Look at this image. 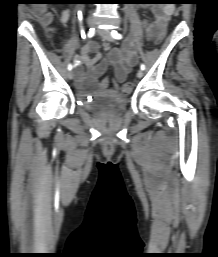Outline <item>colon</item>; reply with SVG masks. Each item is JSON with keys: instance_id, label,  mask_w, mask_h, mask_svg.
<instances>
[{"instance_id": "5ec220e1", "label": "colon", "mask_w": 218, "mask_h": 257, "mask_svg": "<svg viewBox=\"0 0 218 257\" xmlns=\"http://www.w3.org/2000/svg\"><path fill=\"white\" fill-rule=\"evenodd\" d=\"M29 10H39V5H29ZM44 19L47 21L49 19L48 14H44ZM165 26H162V30H157L155 34V43L159 44L162 39H165L167 31H171V21H165ZM133 84L131 82H126L122 90L125 93H129L132 90ZM118 82L116 79H111V76H102V79L99 80V90H110L111 94L115 93V90H118Z\"/></svg>"}]
</instances>
